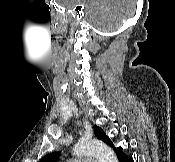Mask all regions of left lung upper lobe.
I'll return each instance as SVG.
<instances>
[{
  "mask_svg": "<svg viewBox=\"0 0 175 162\" xmlns=\"http://www.w3.org/2000/svg\"><path fill=\"white\" fill-rule=\"evenodd\" d=\"M95 136L102 140L103 142L107 143L110 146H113V143L109 139V137L105 134V132L98 126H94ZM60 156V151L52 152L46 156H44L40 162H56Z\"/></svg>",
  "mask_w": 175,
  "mask_h": 162,
  "instance_id": "1",
  "label": "left lung upper lobe"
}]
</instances>
